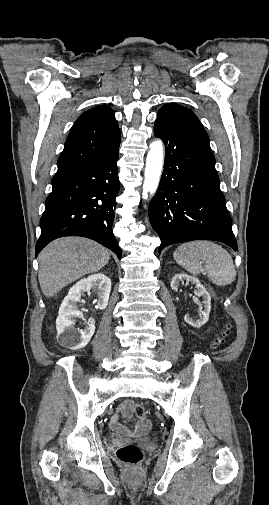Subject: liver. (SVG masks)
Listing matches in <instances>:
<instances>
[{
  "instance_id": "obj_1",
  "label": "liver",
  "mask_w": 269,
  "mask_h": 505,
  "mask_svg": "<svg viewBox=\"0 0 269 505\" xmlns=\"http://www.w3.org/2000/svg\"><path fill=\"white\" fill-rule=\"evenodd\" d=\"M110 252L97 242L82 237H63L46 246L38 256V279L46 297H52L82 276L101 270Z\"/></svg>"
}]
</instances>
